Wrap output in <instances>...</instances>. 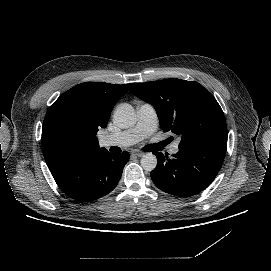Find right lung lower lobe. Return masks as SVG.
<instances>
[{"label":"right lung lower lobe","instance_id":"1","mask_svg":"<svg viewBox=\"0 0 271 271\" xmlns=\"http://www.w3.org/2000/svg\"><path fill=\"white\" fill-rule=\"evenodd\" d=\"M129 153L100 149L75 153L49 167L60 189L69 197L88 202L110 193L118 184Z\"/></svg>","mask_w":271,"mask_h":271}]
</instances>
